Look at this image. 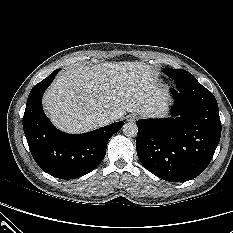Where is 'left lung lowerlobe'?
Returning a JSON list of instances; mask_svg holds the SVG:
<instances>
[{
  "label": "left lung lower lobe",
  "instance_id": "1",
  "mask_svg": "<svg viewBox=\"0 0 233 233\" xmlns=\"http://www.w3.org/2000/svg\"><path fill=\"white\" fill-rule=\"evenodd\" d=\"M176 118L136 122L137 155L143 166L171 182L191 180L209 165L221 136L214 95L197 80L172 88Z\"/></svg>",
  "mask_w": 233,
  "mask_h": 233
}]
</instances>
